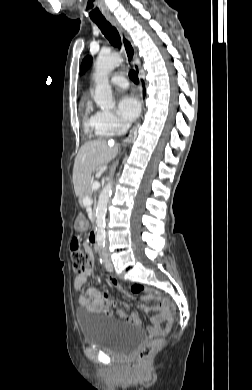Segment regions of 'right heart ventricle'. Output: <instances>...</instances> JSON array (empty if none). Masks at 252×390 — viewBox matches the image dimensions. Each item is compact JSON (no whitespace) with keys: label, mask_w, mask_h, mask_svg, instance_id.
<instances>
[{"label":"right heart ventricle","mask_w":252,"mask_h":390,"mask_svg":"<svg viewBox=\"0 0 252 390\" xmlns=\"http://www.w3.org/2000/svg\"><path fill=\"white\" fill-rule=\"evenodd\" d=\"M91 111H92L91 105L87 104L85 108V120H84L85 132L90 137L100 136L96 131V115L91 114Z\"/></svg>","instance_id":"obj_1"}]
</instances>
